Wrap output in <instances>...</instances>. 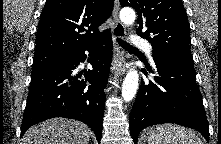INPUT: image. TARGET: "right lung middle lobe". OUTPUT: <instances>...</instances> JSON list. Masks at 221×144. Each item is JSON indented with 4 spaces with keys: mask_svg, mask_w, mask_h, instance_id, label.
<instances>
[{
    "mask_svg": "<svg viewBox=\"0 0 221 144\" xmlns=\"http://www.w3.org/2000/svg\"><path fill=\"white\" fill-rule=\"evenodd\" d=\"M67 55L58 53H41L34 54L31 74L42 70L56 62L63 60Z\"/></svg>",
    "mask_w": 221,
    "mask_h": 144,
    "instance_id": "right-lung-middle-lobe-1",
    "label": "right lung middle lobe"
}]
</instances>
